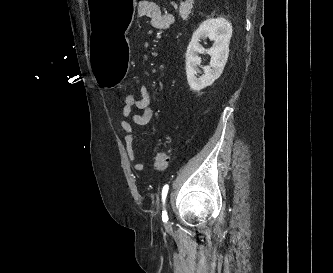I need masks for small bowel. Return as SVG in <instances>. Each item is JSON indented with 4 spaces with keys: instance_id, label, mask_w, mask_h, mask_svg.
Wrapping results in <instances>:
<instances>
[{
    "instance_id": "1",
    "label": "small bowel",
    "mask_w": 333,
    "mask_h": 273,
    "mask_svg": "<svg viewBox=\"0 0 333 273\" xmlns=\"http://www.w3.org/2000/svg\"><path fill=\"white\" fill-rule=\"evenodd\" d=\"M138 13L140 16L147 17L150 24L156 29H167L173 25L174 19L171 14L163 13L160 7L153 2L143 0L138 5ZM134 109H138L140 113H134ZM134 109H123V119L119 122V127L125 132L124 143L129 161L135 171L144 170V164L137 160L134 151V130L132 123L138 126L149 124L154 116L150 103V92L146 86L139 89V97H136Z\"/></svg>"
}]
</instances>
